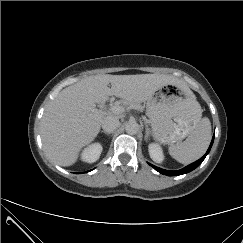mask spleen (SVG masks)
Instances as JSON below:
<instances>
[{"instance_id":"obj_1","label":"spleen","mask_w":243,"mask_h":243,"mask_svg":"<svg viewBox=\"0 0 243 243\" xmlns=\"http://www.w3.org/2000/svg\"><path fill=\"white\" fill-rule=\"evenodd\" d=\"M197 108L199 117L193 131L185 141L169 147L170 155L182 164L192 163L202 157L211 140L210 120L207 117L201 118L202 110L199 103H197Z\"/></svg>"}]
</instances>
